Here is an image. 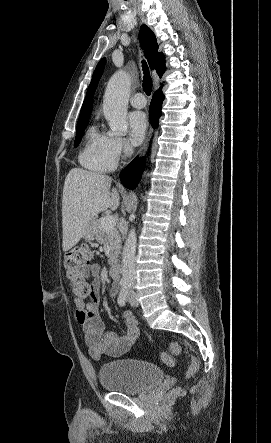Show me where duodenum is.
<instances>
[{"mask_svg": "<svg viewBox=\"0 0 271 443\" xmlns=\"http://www.w3.org/2000/svg\"><path fill=\"white\" fill-rule=\"evenodd\" d=\"M109 273L114 278H118L120 276L121 270L117 259L111 260L109 264Z\"/></svg>", "mask_w": 271, "mask_h": 443, "instance_id": "410a0bca", "label": "duodenum"}]
</instances>
